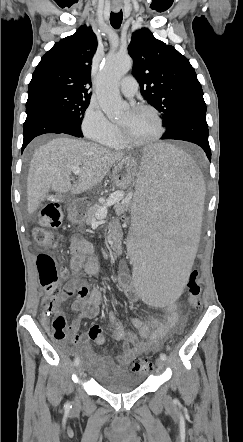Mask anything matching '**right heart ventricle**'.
I'll return each instance as SVG.
<instances>
[{
  "mask_svg": "<svg viewBox=\"0 0 243 442\" xmlns=\"http://www.w3.org/2000/svg\"><path fill=\"white\" fill-rule=\"evenodd\" d=\"M105 144L113 148H123L125 146L120 139L119 130L117 128L114 134L105 141Z\"/></svg>",
  "mask_w": 243,
  "mask_h": 442,
  "instance_id": "right-heart-ventricle-1",
  "label": "right heart ventricle"
}]
</instances>
